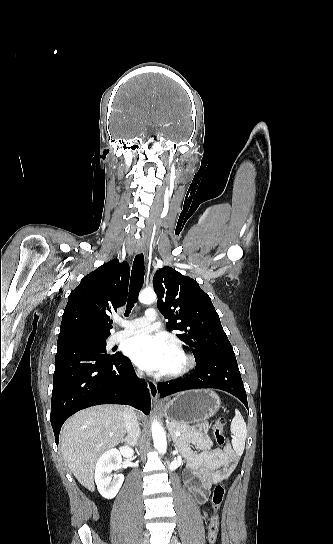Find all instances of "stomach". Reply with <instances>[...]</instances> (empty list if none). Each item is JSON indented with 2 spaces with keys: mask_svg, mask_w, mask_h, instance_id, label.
<instances>
[{
  "mask_svg": "<svg viewBox=\"0 0 333 544\" xmlns=\"http://www.w3.org/2000/svg\"><path fill=\"white\" fill-rule=\"evenodd\" d=\"M220 408V398L212 390H193L179 393L163 407L165 416L185 425L212 417Z\"/></svg>",
  "mask_w": 333,
  "mask_h": 544,
  "instance_id": "0dacf381",
  "label": "stomach"
}]
</instances>
